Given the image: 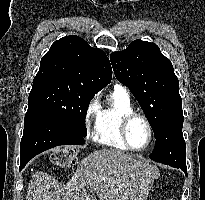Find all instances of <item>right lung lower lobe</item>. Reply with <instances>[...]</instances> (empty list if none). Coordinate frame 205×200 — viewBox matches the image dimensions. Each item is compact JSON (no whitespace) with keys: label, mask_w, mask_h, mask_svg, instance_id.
Listing matches in <instances>:
<instances>
[{"label":"right lung lower lobe","mask_w":205,"mask_h":200,"mask_svg":"<svg viewBox=\"0 0 205 200\" xmlns=\"http://www.w3.org/2000/svg\"><path fill=\"white\" fill-rule=\"evenodd\" d=\"M84 143V137L76 133L61 119L42 108L28 107L20 145L19 169H23L34 156L52 147Z\"/></svg>","instance_id":"right-lung-lower-lobe-1"}]
</instances>
